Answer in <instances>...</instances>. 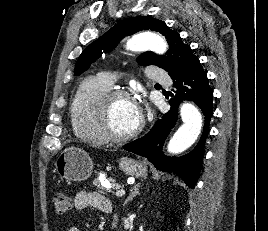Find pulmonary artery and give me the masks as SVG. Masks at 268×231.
<instances>
[{
	"instance_id": "1",
	"label": "pulmonary artery",
	"mask_w": 268,
	"mask_h": 231,
	"mask_svg": "<svg viewBox=\"0 0 268 231\" xmlns=\"http://www.w3.org/2000/svg\"><path fill=\"white\" fill-rule=\"evenodd\" d=\"M148 78L151 81H157L160 83H164L167 79V73L162 71L158 66H149L147 69ZM103 80L107 82L109 85H113L114 78L106 75ZM168 85V84H167Z\"/></svg>"
}]
</instances>
